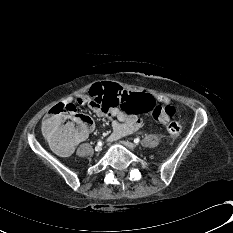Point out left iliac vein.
I'll list each match as a JSON object with an SVG mask.
<instances>
[{"label":"left iliac vein","mask_w":233,"mask_h":233,"mask_svg":"<svg viewBox=\"0 0 233 233\" xmlns=\"http://www.w3.org/2000/svg\"><path fill=\"white\" fill-rule=\"evenodd\" d=\"M127 148L134 150L136 148V145L132 142L129 141H123L122 142Z\"/></svg>","instance_id":"4c4485c4"}]
</instances>
